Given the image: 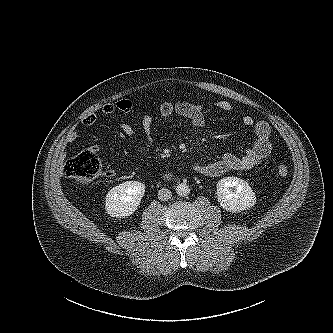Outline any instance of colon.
<instances>
[{
  "instance_id": "obj_1",
  "label": "colon",
  "mask_w": 333,
  "mask_h": 333,
  "mask_svg": "<svg viewBox=\"0 0 333 333\" xmlns=\"http://www.w3.org/2000/svg\"><path fill=\"white\" fill-rule=\"evenodd\" d=\"M278 173L285 177L288 167L284 163L278 165ZM65 174L77 184H89L102 173V165L97 155L90 149L69 158L64 166Z\"/></svg>"
}]
</instances>
